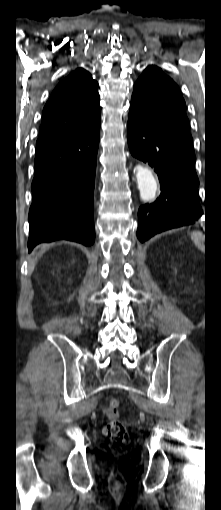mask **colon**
<instances>
[{
  "label": "colon",
  "instance_id": "5ec220e1",
  "mask_svg": "<svg viewBox=\"0 0 221 510\" xmlns=\"http://www.w3.org/2000/svg\"><path fill=\"white\" fill-rule=\"evenodd\" d=\"M118 407L119 401L117 399H111L108 407L110 421L103 430L104 435L109 441V446L113 450L125 448L130 442L125 425L117 419Z\"/></svg>",
  "mask_w": 221,
  "mask_h": 510
}]
</instances>
